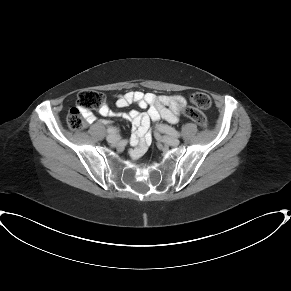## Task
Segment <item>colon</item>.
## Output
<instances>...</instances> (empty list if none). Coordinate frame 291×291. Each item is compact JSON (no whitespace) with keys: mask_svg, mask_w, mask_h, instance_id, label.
Instances as JSON below:
<instances>
[{"mask_svg":"<svg viewBox=\"0 0 291 291\" xmlns=\"http://www.w3.org/2000/svg\"><path fill=\"white\" fill-rule=\"evenodd\" d=\"M192 103L199 109H208L211 106V99L208 94L204 92H195L192 94ZM104 100L102 92L93 89H85L78 93L77 105L71 109L67 114V124L70 129L79 131L85 126V118L82 115V111L87 109H95L100 107ZM185 114L193 121H195L200 127L205 128L207 126V119L205 115L194 108L185 109Z\"/></svg>","mask_w":291,"mask_h":291,"instance_id":"1","label":"colon"}]
</instances>
